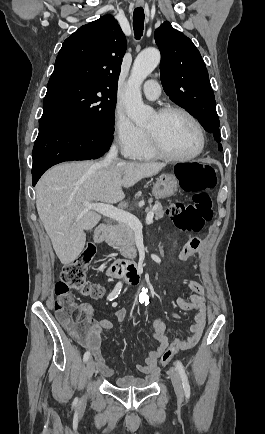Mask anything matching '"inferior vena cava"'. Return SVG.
Masks as SVG:
<instances>
[{"mask_svg":"<svg viewBox=\"0 0 265 434\" xmlns=\"http://www.w3.org/2000/svg\"><path fill=\"white\" fill-rule=\"evenodd\" d=\"M117 156H118L117 146H112L105 160H103V162H100V166H103V168H107V166H110V164H116V162H119V158H117Z\"/></svg>","mask_w":265,"mask_h":434,"instance_id":"inferior-vena-cava-1","label":"inferior vena cava"}]
</instances>
